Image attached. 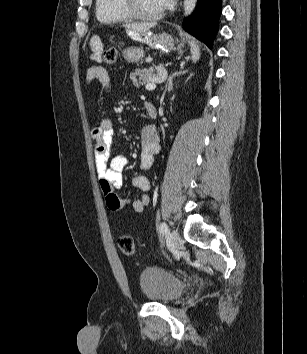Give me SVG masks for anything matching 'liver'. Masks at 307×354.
Returning a JSON list of instances; mask_svg holds the SVG:
<instances>
[{
	"label": "liver",
	"mask_w": 307,
	"mask_h": 354,
	"mask_svg": "<svg viewBox=\"0 0 307 354\" xmlns=\"http://www.w3.org/2000/svg\"><path fill=\"white\" fill-rule=\"evenodd\" d=\"M154 24L151 23H133L124 25L125 28L135 33H144L148 31Z\"/></svg>",
	"instance_id": "liver-1"
}]
</instances>
